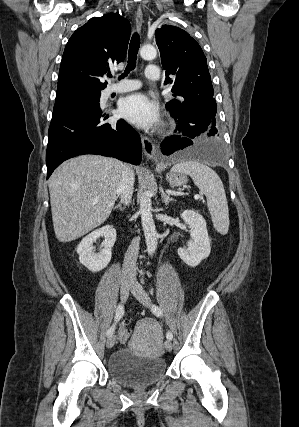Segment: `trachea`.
I'll use <instances>...</instances> for the list:
<instances>
[{
	"mask_svg": "<svg viewBox=\"0 0 299 427\" xmlns=\"http://www.w3.org/2000/svg\"><path fill=\"white\" fill-rule=\"evenodd\" d=\"M139 47H140V36L137 32H135L131 38L130 45H129L127 67L125 69V72L121 76H119L118 78L119 80L127 76L128 73L135 68Z\"/></svg>",
	"mask_w": 299,
	"mask_h": 427,
	"instance_id": "3493384b",
	"label": "trachea"
}]
</instances>
